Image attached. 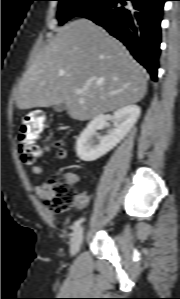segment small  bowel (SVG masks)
<instances>
[{
    "label": "small bowel",
    "instance_id": "obj_1",
    "mask_svg": "<svg viewBox=\"0 0 180 299\" xmlns=\"http://www.w3.org/2000/svg\"><path fill=\"white\" fill-rule=\"evenodd\" d=\"M49 156H50L49 153H42L40 157L47 158ZM66 157H67V153L65 150L61 149V150L57 151V153H56L57 160L62 161V160H65ZM31 171L34 175H40L43 172V167L40 165H34V166H32ZM64 180L67 181L69 184H74L77 181V175L74 173H71V172L66 173L64 175ZM48 188H49L48 185H40L35 188L37 195L42 200H44L45 197L47 196ZM88 201H89V196L86 193L80 192L76 195V207L77 208L85 207L88 204Z\"/></svg>",
    "mask_w": 180,
    "mask_h": 299
}]
</instances>
